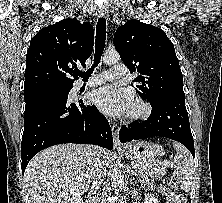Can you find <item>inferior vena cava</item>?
I'll return each instance as SVG.
<instances>
[{
    "label": "inferior vena cava",
    "instance_id": "1",
    "mask_svg": "<svg viewBox=\"0 0 222 203\" xmlns=\"http://www.w3.org/2000/svg\"><path fill=\"white\" fill-rule=\"evenodd\" d=\"M90 155H91V193H96L99 189V186L103 183L104 177H106V166L100 160L98 155V147L89 146Z\"/></svg>",
    "mask_w": 222,
    "mask_h": 203
}]
</instances>
